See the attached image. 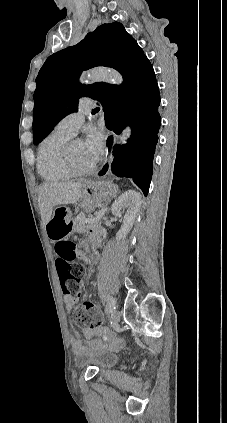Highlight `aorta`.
Listing matches in <instances>:
<instances>
[{
	"mask_svg": "<svg viewBox=\"0 0 227 423\" xmlns=\"http://www.w3.org/2000/svg\"><path fill=\"white\" fill-rule=\"evenodd\" d=\"M84 79L89 82L105 81L112 84H121L123 82L122 76L115 70L106 68H95L88 71ZM130 127L123 131V138L127 139L130 135ZM125 143V141H122Z\"/></svg>",
	"mask_w": 227,
	"mask_h": 423,
	"instance_id": "1",
	"label": "aorta"
}]
</instances>
